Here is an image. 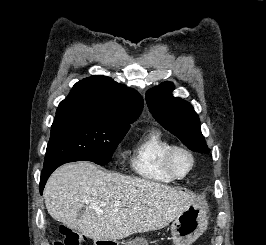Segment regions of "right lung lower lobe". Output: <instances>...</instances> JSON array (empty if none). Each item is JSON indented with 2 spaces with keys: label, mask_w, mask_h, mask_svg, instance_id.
Masks as SVG:
<instances>
[{
  "label": "right lung lower lobe",
  "mask_w": 266,
  "mask_h": 245,
  "mask_svg": "<svg viewBox=\"0 0 266 245\" xmlns=\"http://www.w3.org/2000/svg\"><path fill=\"white\" fill-rule=\"evenodd\" d=\"M62 164H64V162H58V163L51 164L43 168L42 173H41V179H40V194L41 195L43 193L45 183L47 179L49 178L50 174Z\"/></svg>",
  "instance_id": "obj_1"
}]
</instances>
